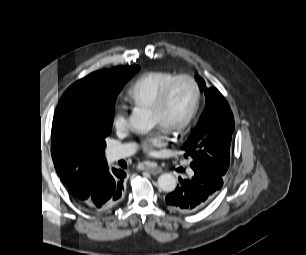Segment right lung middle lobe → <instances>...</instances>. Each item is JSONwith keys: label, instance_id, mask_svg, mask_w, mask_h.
I'll return each mask as SVG.
<instances>
[{"label": "right lung middle lobe", "instance_id": "obj_1", "mask_svg": "<svg viewBox=\"0 0 306 255\" xmlns=\"http://www.w3.org/2000/svg\"><path fill=\"white\" fill-rule=\"evenodd\" d=\"M138 70V66L123 69L121 86L97 100L66 103L56 134L59 151L53 159L58 174L64 179L76 181L89 170L107 163L105 139L111 133L116 96Z\"/></svg>", "mask_w": 306, "mask_h": 255}]
</instances>
